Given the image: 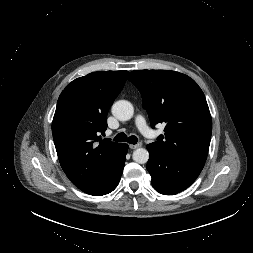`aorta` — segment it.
Masks as SVG:
<instances>
[{"instance_id":"1","label":"aorta","mask_w":253,"mask_h":253,"mask_svg":"<svg viewBox=\"0 0 253 253\" xmlns=\"http://www.w3.org/2000/svg\"><path fill=\"white\" fill-rule=\"evenodd\" d=\"M112 114L120 121H127L133 117L134 107L129 101L119 100L113 104ZM132 157L136 163L145 164L149 159V153L144 148H138Z\"/></svg>"}]
</instances>
